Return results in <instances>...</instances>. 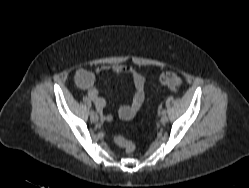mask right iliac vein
Instances as JSON below:
<instances>
[{"label": "right iliac vein", "instance_id": "1", "mask_svg": "<svg viewBox=\"0 0 249 188\" xmlns=\"http://www.w3.org/2000/svg\"><path fill=\"white\" fill-rule=\"evenodd\" d=\"M98 116L97 115H92V116H90V120H91V122H97L98 121Z\"/></svg>", "mask_w": 249, "mask_h": 188}]
</instances>
